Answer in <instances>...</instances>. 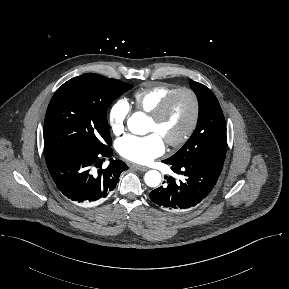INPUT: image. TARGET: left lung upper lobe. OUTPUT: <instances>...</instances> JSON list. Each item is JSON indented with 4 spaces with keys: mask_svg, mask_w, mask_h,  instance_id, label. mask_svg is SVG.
Here are the masks:
<instances>
[{
    "mask_svg": "<svg viewBox=\"0 0 289 289\" xmlns=\"http://www.w3.org/2000/svg\"><path fill=\"white\" fill-rule=\"evenodd\" d=\"M199 103L197 128L183 147L167 160L172 163L192 162L199 159L223 161L226 156V123L220 104L205 85L190 80Z\"/></svg>",
    "mask_w": 289,
    "mask_h": 289,
    "instance_id": "5c2ea615",
    "label": "left lung upper lobe"
}]
</instances>
